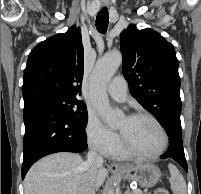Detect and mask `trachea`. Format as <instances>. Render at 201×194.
Here are the masks:
<instances>
[{
  "label": "trachea",
  "mask_w": 201,
  "mask_h": 194,
  "mask_svg": "<svg viewBox=\"0 0 201 194\" xmlns=\"http://www.w3.org/2000/svg\"><path fill=\"white\" fill-rule=\"evenodd\" d=\"M108 23H109V13L108 9L104 7L98 12L96 17L97 30L102 34H105L108 28Z\"/></svg>",
  "instance_id": "obj_1"
}]
</instances>
